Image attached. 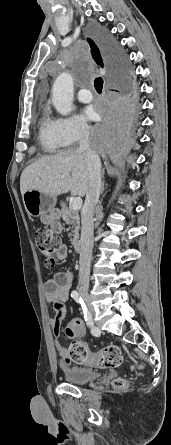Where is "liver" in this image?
Returning <instances> with one entry per match:
<instances>
[{"label": "liver", "mask_w": 171, "mask_h": 445, "mask_svg": "<svg viewBox=\"0 0 171 445\" xmlns=\"http://www.w3.org/2000/svg\"><path fill=\"white\" fill-rule=\"evenodd\" d=\"M90 174L86 155L79 150H65L44 156L27 166L20 177V191L38 190L57 196L67 192L85 196L89 189Z\"/></svg>", "instance_id": "1"}]
</instances>
